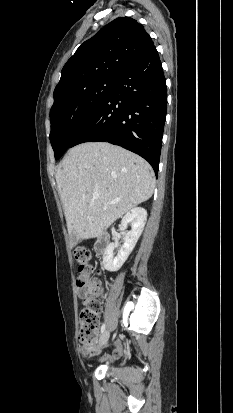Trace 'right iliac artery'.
<instances>
[{"mask_svg": "<svg viewBox=\"0 0 233 413\" xmlns=\"http://www.w3.org/2000/svg\"><path fill=\"white\" fill-rule=\"evenodd\" d=\"M105 327H106V325H105V323L102 325V327H101V333H103L104 331H105Z\"/></svg>", "mask_w": 233, "mask_h": 413, "instance_id": "82829eb1", "label": "right iliac artery"}]
</instances>
